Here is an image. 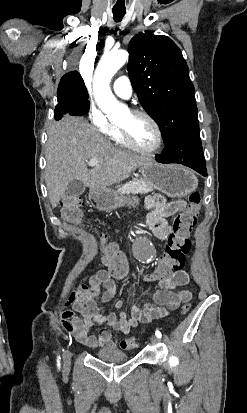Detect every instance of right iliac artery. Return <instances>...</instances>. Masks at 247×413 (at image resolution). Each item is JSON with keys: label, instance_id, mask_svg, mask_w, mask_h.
Here are the masks:
<instances>
[{"label": "right iliac artery", "instance_id": "obj_1", "mask_svg": "<svg viewBox=\"0 0 247 413\" xmlns=\"http://www.w3.org/2000/svg\"><path fill=\"white\" fill-rule=\"evenodd\" d=\"M60 357H58L57 361H58V367H60Z\"/></svg>", "mask_w": 247, "mask_h": 413}]
</instances>
